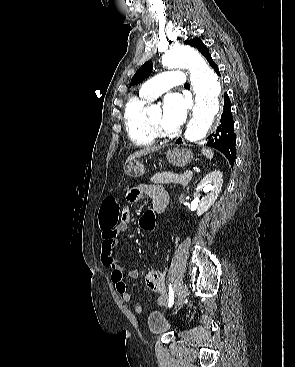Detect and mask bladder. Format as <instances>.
<instances>
[{"mask_svg": "<svg viewBox=\"0 0 295 367\" xmlns=\"http://www.w3.org/2000/svg\"><path fill=\"white\" fill-rule=\"evenodd\" d=\"M148 329L153 334H159L169 329L165 315L160 311H152L147 318Z\"/></svg>", "mask_w": 295, "mask_h": 367, "instance_id": "obj_1", "label": "bladder"}]
</instances>
